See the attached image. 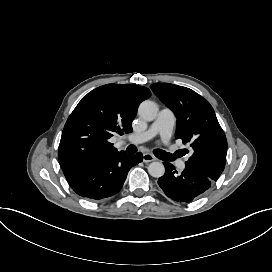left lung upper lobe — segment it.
<instances>
[{
    "label": "left lung upper lobe",
    "mask_w": 272,
    "mask_h": 272,
    "mask_svg": "<svg viewBox=\"0 0 272 272\" xmlns=\"http://www.w3.org/2000/svg\"><path fill=\"white\" fill-rule=\"evenodd\" d=\"M177 117L176 139L190 142L194 153L185 163L212 181L224 170L227 140L209 102L193 90L169 83L151 85Z\"/></svg>",
    "instance_id": "5c2ea615"
}]
</instances>
